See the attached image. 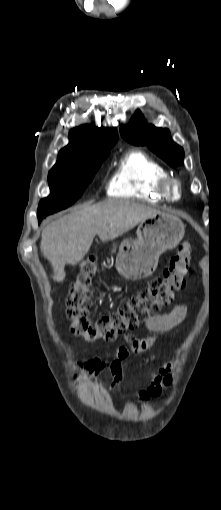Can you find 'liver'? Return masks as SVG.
I'll use <instances>...</instances> for the list:
<instances>
[{
    "label": "liver",
    "instance_id": "obj_1",
    "mask_svg": "<svg viewBox=\"0 0 221 510\" xmlns=\"http://www.w3.org/2000/svg\"><path fill=\"white\" fill-rule=\"evenodd\" d=\"M158 209L122 199H108L83 205L49 223L42 231L40 250L51 263L53 280L65 279V265H76L88 253L95 235L101 241L113 240L149 217Z\"/></svg>",
    "mask_w": 221,
    "mask_h": 510
}]
</instances>
